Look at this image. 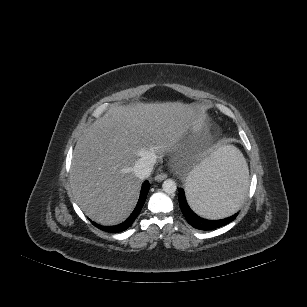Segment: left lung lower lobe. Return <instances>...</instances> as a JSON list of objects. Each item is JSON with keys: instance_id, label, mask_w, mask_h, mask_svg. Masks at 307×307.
I'll use <instances>...</instances> for the list:
<instances>
[{"instance_id": "1", "label": "left lung lower lobe", "mask_w": 307, "mask_h": 307, "mask_svg": "<svg viewBox=\"0 0 307 307\" xmlns=\"http://www.w3.org/2000/svg\"><path fill=\"white\" fill-rule=\"evenodd\" d=\"M224 193L229 197L235 199V201L243 200L248 187V176L244 174L240 169H232L228 171L226 178L224 179ZM179 205L183 215L185 216L188 223L199 230H213L222 227L231 221H233L238 212L234 215L220 219V220H207L201 218L195 214L187 204L185 193L182 188H179Z\"/></svg>"}]
</instances>
